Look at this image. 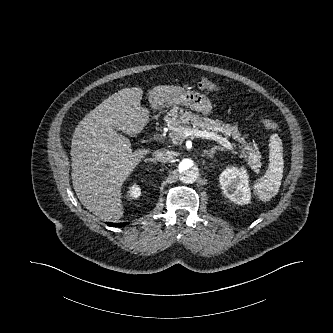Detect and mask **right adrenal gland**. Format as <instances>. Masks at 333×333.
Segmentation results:
<instances>
[{
	"label": "right adrenal gland",
	"mask_w": 333,
	"mask_h": 333,
	"mask_svg": "<svg viewBox=\"0 0 333 333\" xmlns=\"http://www.w3.org/2000/svg\"><path fill=\"white\" fill-rule=\"evenodd\" d=\"M148 161H151V162H153V163H156V162H154V160H153V159H151V158H150V159H148Z\"/></svg>",
	"instance_id": "2a0ac1e0"
}]
</instances>
